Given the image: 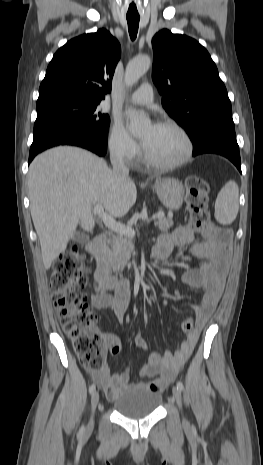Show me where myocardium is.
I'll use <instances>...</instances> for the list:
<instances>
[{
	"label": "myocardium",
	"instance_id": "myocardium-1",
	"mask_svg": "<svg viewBox=\"0 0 263 465\" xmlns=\"http://www.w3.org/2000/svg\"><path fill=\"white\" fill-rule=\"evenodd\" d=\"M157 126L161 127H168L176 130L184 139L185 142V151L184 154L182 155L181 158H179L176 161L173 162H168V163H163L155 160L151 155L148 153L146 150L145 146L143 147V154H144V160L145 162L150 165L151 167L159 170H171L178 168L184 164H186L190 158L192 157L193 150H194V144L192 141V138L188 131L179 123L172 121V120H164L161 121L157 124Z\"/></svg>",
	"mask_w": 263,
	"mask_h": 465
}]
</instances>
